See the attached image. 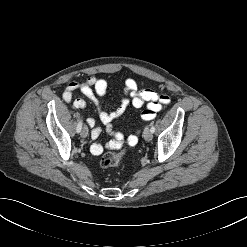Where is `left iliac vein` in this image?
<instances>
[{
    "label": "left iliac vein",
    "instance_id": "obj_1",
    "mask_svg": "<svg viewBox=\"0 0 247 247\" xmlns=\"http://www.w3.org/2000/svg\"><path fill=\"white\" fill-rule=\"evenodd\" d=\"M143 137H144V139L146 141H151L152 140L153 134H152L151 130L148 127L145 128V130L143 132Z\"/></svg>",
    "mask_w": 247,
    "mask_h": 247
}]
</instances>
